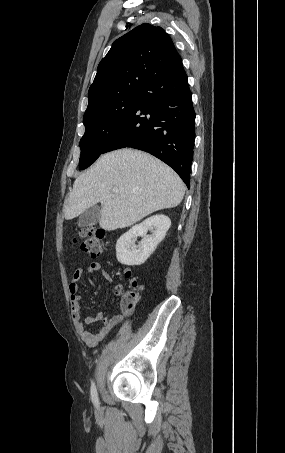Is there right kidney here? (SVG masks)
<instances>
[{"instance_id":"right-kidney-1","label":"right kidney","mask_w":285,"mask_h":453,"mask_svg":"<svg viewBox=\"0 0 285 453\" xmlns=\"http://www.w3.org/2000/svg\"><path fill=\"white\" fill-rule=\"evenodd\" d=\"M170 226V218L162 214L151 216L140 224L133 226L117 240V260L128 266L143 264L164 239ZM149 230L151 235H147ZM138 236H142L143 239L136 246L135 241Z\"/></svg>"}]
</instances>
